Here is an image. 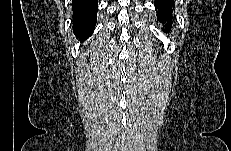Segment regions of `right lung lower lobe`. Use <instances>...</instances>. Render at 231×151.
<instances>
[{"mask_svg":"<svg viewBox=\"0 0 231 151\" xmlns=\"http://www.w3.org/2000/svg\"><path fill=\"white\" fill-rule=\"evenodd\" d=\"M98 0H73V32L80 42L87 39L94 31L97 22Z\"/></svg>","mask_w":231,"mask_h":151,"instance_id":"1","label":"right lung lower lobe"}]
</instances>
